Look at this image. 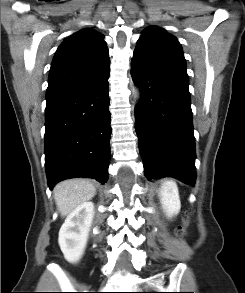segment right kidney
<instances>
[{
    "label": "right kidney",
    "mask_w": 245,
    "mask_h": 293,
    "mask_svg": "<svg viewBox=\"0 0 245 293\" xmlns=\"http://www.w3.org/2000/svg\"><path fill=\"white\" fill-rule=\"evenodd\" d=\"M94 213V204L84 202L67 216L61 226L58 243L68 262L76 263L83 255Z\"/></svg>",
    "instance_id": "1"
}]
</instances>
